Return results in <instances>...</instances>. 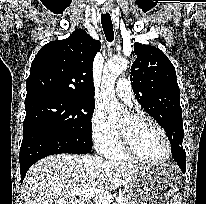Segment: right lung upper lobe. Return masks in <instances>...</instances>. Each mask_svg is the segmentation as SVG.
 Returning <instances> with one entry per match:
<instances>
[{
	"instance_id": "right-lung-upper-lobe-1",
	"label": "right lung upper lobe",
	"mask_w": 206,
	"mask_h": 204,
	"mask_svg": "<svg viewBox=\"0 0 206 204\" xmlns=\"http://www.w3.org/2000/svg\"><path fill=\"white\" fill-rule=\"evenodd\" d=\"M101 43L84 30L44 45L31 64L26 99L53 95L94 100L93 60Z\"/></svg>"
}]
</instances>
